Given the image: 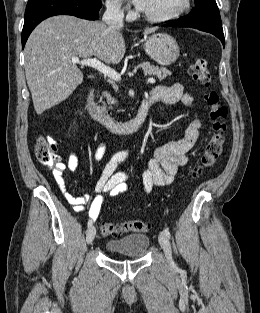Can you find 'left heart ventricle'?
<instances>
[{
  "label": "left heart ventricle",
  "mask_w": 260,
  "mask_h": 313,
  "mask_svg": "<svg viewBox=\"0 0 260 313\" xmlns=\"http://www.w3.org/2000/svg\"><path fill=\"white\" fill-rule=\"evenodd\" d=\"M183 0H145L142 11L152 16H164L176 11Z\"/></svg>",
  "instance_id": "1"
}]
</instances>
